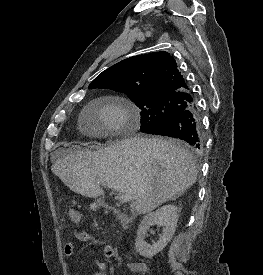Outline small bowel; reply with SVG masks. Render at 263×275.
I'll return each instance as SVG.
<instances>
[{
	"label": "small bowel",
	"mask_w": 263,
	"mask_h": 275,
	"mask_svg": "<svg viewBox=\"0 0 263 275\" xmlns=\"http://www.w3.org/2000/svg\"><path fill=\"white\" fill-rule=\"evenodd\" d=\"M93 240H94V237L88 232H85V231L74 232L72 235V239L65 244L63 248V252L65 256L71 257L75 252V241L90 242ZM103 253L106 258H112L115 255V251L113 247L110 245L104 246ZM95 266L97 267L98 270L94 273H91L90 275H108L107 266L104 262L98 261L95 263ZM136 269H137L136 266H132V270H136Z\"/></svg>",
	"instance_id": "c3829d8e"
}]
</instances>
